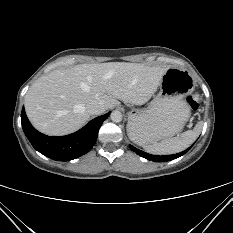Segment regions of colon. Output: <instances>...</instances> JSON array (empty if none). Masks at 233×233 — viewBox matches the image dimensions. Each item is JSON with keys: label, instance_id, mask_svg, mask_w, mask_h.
<instances>
[{"label": "colon", "instance_id": "5ec220e1", "mask_svg": "<svg viewBox=\"0 0 233 233\" xmlns=\"http://www.w3.org/2000/svg\"><path fill=\"white\" fill-rule=\"evenodd\" d=\"M200 95L198 94H193L191 96L188 97V104L189 107L193 110V111H197L199 106H200Z\"/></svg>", "mask_w": 233, "mask_h": 233}]
</instances>
